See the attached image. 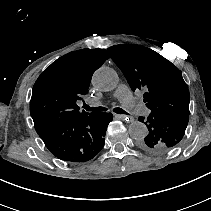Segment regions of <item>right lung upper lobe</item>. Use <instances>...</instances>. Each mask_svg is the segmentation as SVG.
Returning a JSON list of instances; mask_svg holds the SVG:
<instances>
[{"label":"right lung upper lobe","mask_w":211,"mask_h":211,"mask_svg":"<svg viewBox=\"0 0 211 211\" xmlns=\"http://www.w3.org/2000/svg\"><path fill=\"white\" fill-rule=\"evenodd\" d=\"M105 49L70 52L53 62L34 84L30 113L37 133L90 113L76 102L87 94L92 74L107 59Z\"/></svg>","instance_id":"right-lung-upper-lobe-1"}]
</instances>
